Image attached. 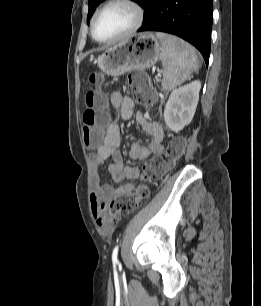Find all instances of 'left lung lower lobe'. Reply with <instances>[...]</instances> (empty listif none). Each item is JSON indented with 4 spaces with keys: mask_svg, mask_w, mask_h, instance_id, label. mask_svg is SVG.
Returning a JSON list of instances; mask_svg holds the SVG:
<instances>
[{
    "mask_svg": "<svg viewBox=\"0 0 261 306\" xmlns=\"http://www.w3.org/2000/svg\"><path fill=\"white\" fill-rule=\"evenodd\" d=\"M213 19L212 0H149L138 32L160 31L194 45L208 64Z\"/></svg>",
    "mask_w": 261,
    "mask_h": 306,
    "instance_id": "0a47b994",
    "label": "left lung lower lobe"
}]
</instances>
